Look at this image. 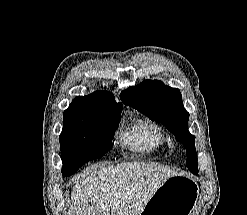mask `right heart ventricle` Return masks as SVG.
<instances>
[{
	"instance_id": "1",
	"label": "right heart ventricle",
	"mask_w": 247,
	"mask_h": 215,
	"mask_svg": "<svg viewBox=\"0 0 247 215\" xmlns=\"http://www.w3.org/2000/svg\"><path fill=\"white\" fill-rule=\"evenodd\" d=\"M120 140L132 151L144 155L152 154L166 144V137L160 125L146 119H137L122 130Z\"/></svg>"
}]
</instances>
